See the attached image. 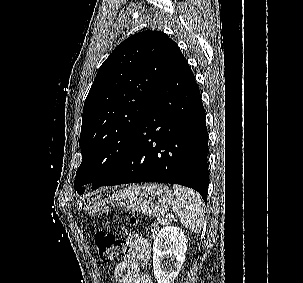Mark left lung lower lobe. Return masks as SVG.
Returning <instances> with one entry per match:
<instances>
[{
	"label": "left lung lower lobe",
	"mask_w": 303,
	"mask_h": 283,
	"mask_svg": "<svg viewBox=\"0 0 303 283\" xmlns=\"http://www.w3.org/2000/svg\"><path fill=\"white\" fill-rule=\"evenodd\" d=\"M208 134L193 72L180 53L155 93L116 173L102 186L159 182L208 193Z\"/></svg>",
	"instance_id": "left-lung-lower-lobe-1"
}]
</instances>
